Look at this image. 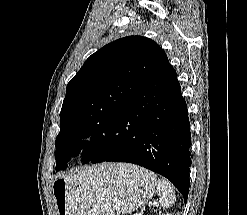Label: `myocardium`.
Segmentation results:
<instances>
[{
    "instance_id": "f54148a6",
    "label": "myocardium",
    "mask_w": 247,
    "mask_h": 215,
    "mask_svg": "<svg viewBox=\"0 0 247 215\" xmlns=\"http://www.w3.org/2000/svg\"><path fill=\"white\" fill-rule=\"evenodd\" d=\"M90 141H91V135L88 133H83L78 137L76 141V146L79 148H84L90 143Z\"/></svg>"
}]
</instances>
